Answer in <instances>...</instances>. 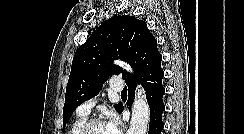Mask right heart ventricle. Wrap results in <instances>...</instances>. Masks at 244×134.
Segmentation results:
<instances>
[{
    "label": "right heart ventricle",
    "instance_id": "right-heart-ventricle-1",
    "mask_svg": "<svg viewBox=\"0 0 244 134\" xmlns=\"http://www.w3.org/2000/svg\"><path fill=\"white\" fill-rule=\"evenodd\" d=\"M87 116L77 115L75 120L71 123L67 134H77L80 127L86 122Z\"/></svg>",
    "mask_w": 244,
    "mask_h": 134
}]
</instances>
